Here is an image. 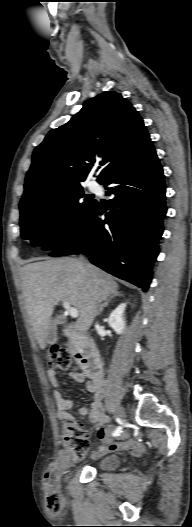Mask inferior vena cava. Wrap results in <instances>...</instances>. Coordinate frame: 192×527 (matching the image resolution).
Returning <instances> with one entry per match:
<instances>
[{
  "instance_id": "1",
  "label": "inferior vena cava",
  "mask_w": 192,
  "mask_h": 527,
  "mask_svg": "<svg viewBox=\"0 0 192 527\" xmlns=\"http://www.w3.org/2000/svg\"><path fill=\"white\" fill-rule=\"evenodd\" d=\"M80 260H84V258H83V257H81V259H80Z\"/></svg>"
}]
</instances>
